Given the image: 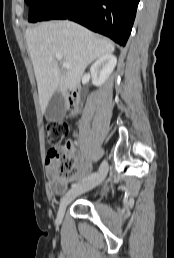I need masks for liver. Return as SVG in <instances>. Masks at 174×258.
<instances>
[{
	"mask_svg": "<svg viewBox=\"0 0 174 258\" xmlns=\"http://www.w3.org/2000/svg\"><path fill=\"white\" fill-rule=\"evenodd\" d=\"M29 54L38 86L39 102L45 112L55 92L65 94L79 84L86 67L102 56L112 54L114 44L97 37L71 21L47 22L25 32ZM57 55L70 68H59Z\"/></svg>",
	"mask_w": 174,
	"mask_h": 258,
	"instance_id": "1",
	"label": "liver"
}]
</instances>
